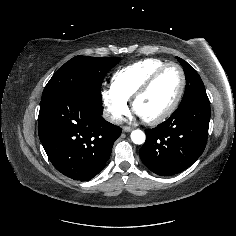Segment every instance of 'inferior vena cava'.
Wrapping results in <instances>:
<instances>
[{"mask_svg": "<svg viewBox=\"0 0 236 236\" xmlns=\"http://www.w3.org/2000/svg\"><path fill=\"white\" fill-rule=\"evenodd\" d=\"M104 116H105L106 118L111 119V120H114V119H115V117H114L113 115H109L108 112H105Z\"/></svg>", "mask_w": 236, "mask_h": 236, "instance_id": "inferior-vena-cava-1", "label": "inferior vena cava"}]
</instances>
